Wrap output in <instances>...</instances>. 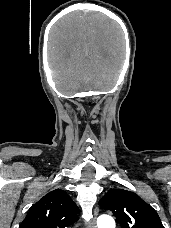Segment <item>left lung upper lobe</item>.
I'll list each match as a JSON object with an SVG mask.
<instances>
[{
  "mask_svg": "<svg viewBox=\"0 0 171 228\" xmlns=\"http://www.w3.org/2000/svg\"><path fill=\"white\" fill-rule=\"evenodd\" d=\"M99 205L112 211L122 228H164L154 209L134 192L112 189Z\"/></svg>",
  "mask_w": 171,
  "mask_h": 228,
  "instance_id": "obj_1",
  "label": "left lung upper lobe"
}]
</instances>
